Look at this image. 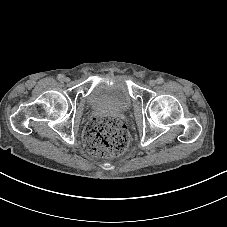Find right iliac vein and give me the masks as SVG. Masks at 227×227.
Returning <instances> with one entry per match:
<instances>
[{"mask_svg": "<svg viewBox=\"0 0 227 227\" xmlns=\"http://www.w3.org/2000/svg\"><path fill=\"white\" fill-rule=\"evenodd\" d=\"M63 81L68 82L69 78H64Z\"/></svg>", "mask_w": 227, "mask_h": 227, "instance_id": "obj_1", "label": "right iliac vein"}]
</instances>
